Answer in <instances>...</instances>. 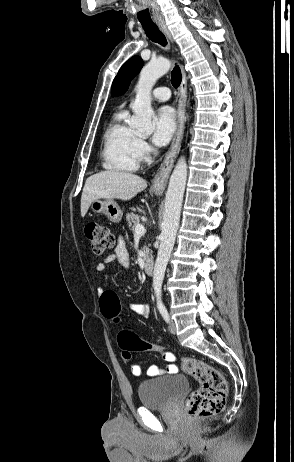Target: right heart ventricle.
<instances>
[{
    "mask_svg": "<svg viewBox=\"0 0 294 462\" xmlns=\"http://www.w3.org/2000/svg\"><path fill=\"white\" fill-rule=\"evenodd\" d=\"M126 115L125 111L117 112L104 132L101 163L106 170L133 172L138 168V136L125 122Z\"/></svg>",
    "mask_w": 294,
    "mask_h": 462,
    "instance_id": "obj_1",
    "label": "right heart ventricle"
}]
</instances>
